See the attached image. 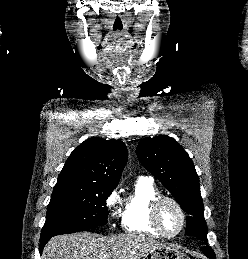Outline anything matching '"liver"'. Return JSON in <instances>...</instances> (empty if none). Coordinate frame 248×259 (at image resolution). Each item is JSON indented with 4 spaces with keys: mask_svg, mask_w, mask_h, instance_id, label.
Instances as JSON below:
<instances>
[{
    "mask_svg": "<svg viewBox=\"0 0 248 259\" xmlns=\"http://www.w3.org/2000/svg\"><path fill=\"white\" fill-rule=\"evenodd\" d=\"M160 242L136 234L98 236L89 232L52 237L41 259H140Z\"/></svg>",
    "mask_w": 248,
    "mask_h": 259,
    "instance_id": "liver-1",
    "label": "liver"
}]
</instances>
